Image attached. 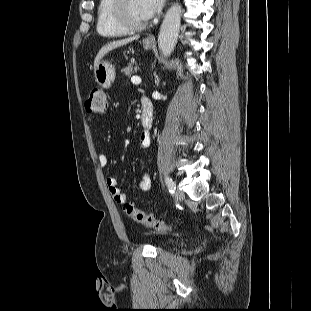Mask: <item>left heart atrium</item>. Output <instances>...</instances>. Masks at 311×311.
Instances as JSON below:
<instances>
[{"label": "left heart atrium", "instance_id": "1", "mask_svg": "<svg viewBox=\"0 0 311 311\" xmlns=\"http://www.w3.org/2000/svg\"><path fill=\"white\" fill-rule=\"evenodd\" d=\"M139 3L142 15L150 19L163 8L165 0H139Z\"/></svg>", "mask_w": 311, "mask_h": 311}]
</instances>
